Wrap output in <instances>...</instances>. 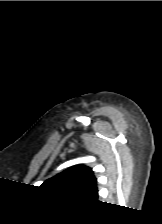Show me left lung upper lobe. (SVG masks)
<instances>
[{"instance_id": "left-lung-upper-lobe-1", "label": "left lung upper lobe", "mask_w": 162, "mask_h": 224, "mask_svg": "<svg viewBox=\"0 0 162 224\" xmlns=\"http://www.w3.org/2000/svg\"><path fill=\"white\" fill-rule=\"evenodd\" d=\"M40 187L64 196L92 199L97 193V179L91 168L79 165L46 180Z\"/></svg>"}]
</instances>
